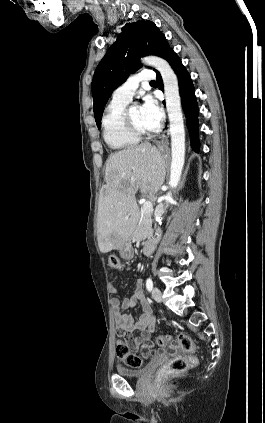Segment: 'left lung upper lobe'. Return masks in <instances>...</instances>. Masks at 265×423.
<instances>
[{
  "label": "left lung upper lobe",
  "instance_id": "5c2ea615",
  "mask_svg": "<svg viewBox=\"0 0 265 423\" xmlns=\"http://www.w3.org/2000/svg\"><path fill=\"white\" fill-rule=\"evenodd\" d=\"M168 48L165 36L151 21L128 23L122 28L96 68L91 84L94 116L99 129L103 109L111 93L126 81L130 73L141 67L139 58L145 55L164 58Z\"/></svg>",
  "mask_w": 265,
  "mask_h": 423
}]
</instances>
